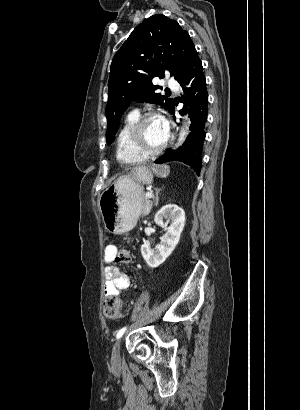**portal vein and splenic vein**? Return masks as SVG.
<instances>
[{
	"mask_svg": "<svg viewBox=\"0 0 300 410\" xmlns=\"http://www.w3.org/2000/svg\"><path fill=\"white\" fill-rule=\"evenodd\" d=\"M146 198H153V194L151 192H146Z\"/></svg>",
	"mask_w": 300,
	"mask_h": 410,
	"instance_id": "obj_1",
	"label": "portal vein and splenic vein"
}]
</instances>
